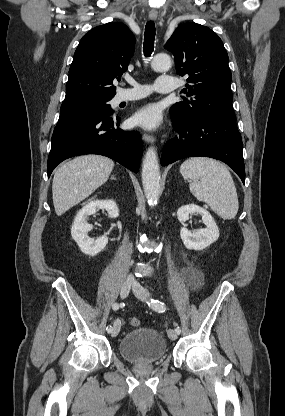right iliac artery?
Listing matches in <instances>:
<instances>
[{"label": "right iliac artery", "mask_w": 285, "mask_h": 416, "mask_svg": "<svg viewBox=\"0 0 285 416\" xmlns=\"http://www.w3.org/2000/svg\"><path fill=\"white\" fill-rule=\"evenodd\" d=\"M119 306H121V304L114 303L113 306H112V309L113 310H118ZM106 330H107L108 333H110L112 331V326L111 325L107 326Z\"/></svg>", "instance_id": "right-iliac-artery-1"}]
</instances>
